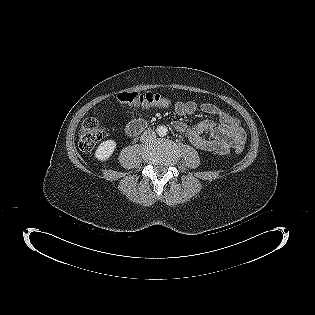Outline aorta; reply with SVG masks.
Masks as SVG:
<instances>
[{"instance_id":"aorta-1","label":"aorta","mask_w":315,"mask_h":315,"mask_svg":"<svg viewBox=\"0 0 315 315\" xmlns=\"http://www.w3.org/2000/svg\"><path fill=\"white\" fill-rule=\"evenodd\" d=\"M167 128L166 127H160V134L161 135H166L167 134Z\"/></svg>"}]
</instances>
